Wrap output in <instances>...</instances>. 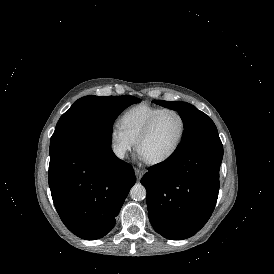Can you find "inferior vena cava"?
I'll use <instances>...</instances> for the list:
<instances>
[{"instance_id":"obj_1","label":"inferior vena cava","mask_w":274,"mask_h":274,"mask_svg":"<svg viewBox=\"0 0 274 274\" xmlns=\"http://www.w3.org/2000/svg\"><path fill=\"white\" fill-rule=\"evenodd\" d=\"M114 152H115V154L117 155V157H119V158H121V159L124 158L125 153H126V151H125L123 148H115V149H114Z\"/></svg>"}]
</instances>
